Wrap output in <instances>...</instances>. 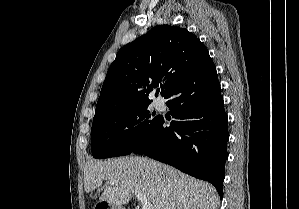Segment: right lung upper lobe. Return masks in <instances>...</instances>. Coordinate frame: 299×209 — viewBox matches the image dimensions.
I'll return each mask as SVG.
<instances>
[{
	"label": "right lung upper lobe",
	"instance_id": "obj_1",
	"mask_svg": "<svg viewBox=\"0 0 299 209\" xmlns=\"http://www.w3.org/2000/svg\"><path fill=\"white\" fill-rule=\"evenodd\" d=\"M206 70L216 68L197 36L177 26H156L119 50L108 69L95 115L151 102L149 95L161 81V95L166 98L182 80Z\"/></svg>",
	"mask_w": 299,
	"mask_h": 209
}]
</instances>
